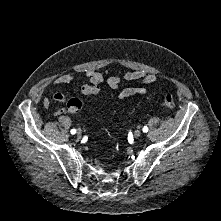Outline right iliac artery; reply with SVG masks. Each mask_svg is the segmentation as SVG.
<instances>
[{"label":"right iliac artery","instance_id":"1","mask_svg":"<svg viewBox=\"0 0 221 221\" xmlns=\"http://www.w3.org/2000/svg\"><path fill=\"white\" fill-rule=\"evenodd\" d=\"M75 133H76V129H72L71 134H75Z\"/></svg>","mask_w":221,"mask_h":221}]
</instances>
